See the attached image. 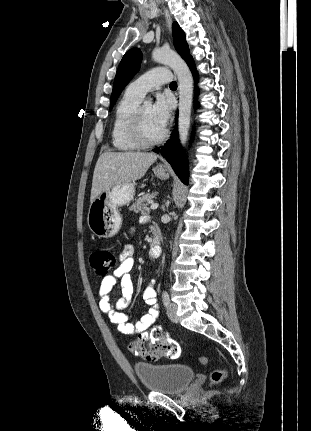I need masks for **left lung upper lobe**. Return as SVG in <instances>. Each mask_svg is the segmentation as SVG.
I'll use <instances>...</instances> for the list:
<instances>
[{"instance_id": "1", "label": "left lung upper lobe", "mask_w": 311, "mask_h": 431, "mask_svg": "<svg viewBox=\"0 0 311 431\" xmlns=\"http://www.w3.org/2000/svg\"><path fill=\"white\" fill-rule=\"evenodd\" d=\"M173 43L177 52L188 62L190 56L189 48L185 40V34L177 22L172 25ZM142 53L138 48H132L123 56L115 76L113 91L111 94L110 110L117 101L120 93L133 76L139 71Z\"/></svg>"}]
</instances>
